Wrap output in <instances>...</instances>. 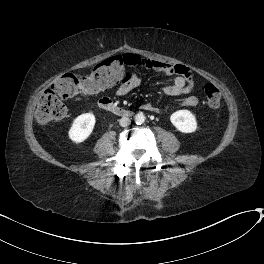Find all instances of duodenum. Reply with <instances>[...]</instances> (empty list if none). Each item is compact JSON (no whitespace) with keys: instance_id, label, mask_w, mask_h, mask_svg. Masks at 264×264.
<instances>
[{"instance_id":"duodenum-1","label":"duodenum","mask_w":264,"mask_h":264,"mask_svg":"<svg viewBox=\"0 0 264 264\" xmlns=\"http://www.w3.org/2000/svg\"><path fill=\"white\" fill-rule=\"evenodd\" d=\"M98 106L100 109H102L104 111L111 112V113L116 114L118 116L127 117V116L131 115V111L129 109L115 105L108 98L100 99L98 102Z\"/></svg>"}]
</instances>
